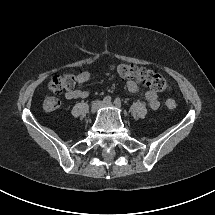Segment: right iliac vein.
<instances>
[{
	"instance_id": "right-iliac-vein-1",
	"label": "right iliac vein",
	"mask_w": 215,
	"mask_h": 215,
	"mask_svg": "<svg viewBox=\"0 0 215 215\" xmlns=\"http://www.w3.org/2000/svg\"><path fill=\"white\" fill-rule=\"evenodd\" d=\"M101 106H102L101 101L99 100L94 101L91 105V112L96 113Z\"/></svg>"
}]
</instances>
